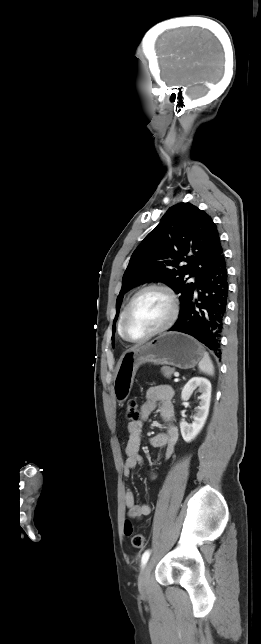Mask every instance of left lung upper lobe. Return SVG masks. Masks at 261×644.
<instances>
[{
	"label": "left lung upper lobe",
	"mask_w": 261,
	"mask_h": 644,
	"mask_svg": "<svg viewBox=\"0 0 261 644\" xmlns=\"http://www.w3.org/2000/svg\"><path fill=\"white\" fill-rule=\"evenodd\" d=\"M222 253L219 233L208 214L190 203L171 207L132 254L117 297V312L128 290L158 280L180 293L181 314L210 265ZM182 261L187 264L181 265ZM186 275L189 277L185 279ZM191 277L195 280L188 283Z\"/></svg>",
	"instance_id": "left-lung-upper-lobe-1"
}]
</instances>
